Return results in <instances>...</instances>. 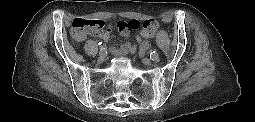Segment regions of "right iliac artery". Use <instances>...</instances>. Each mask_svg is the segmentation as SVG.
<instances>
[{
    "label": "right iliac artery",
    "mask_w": 255,
    "mask_h": 122,
    "mask_svg": "<svg viewBox=\"0 0 255 122\" xmlns=\"http://www.w3.org/2000/svg\"><path fill=\"white\" fill-rule=\"evenodd\" d=\"M99 45H101L100 46V51H106V46L105 45H102V43L101 42H99Z\"/></svg>",
    "instance_id": "right-iliac-artery-1"
}]
</instances>
